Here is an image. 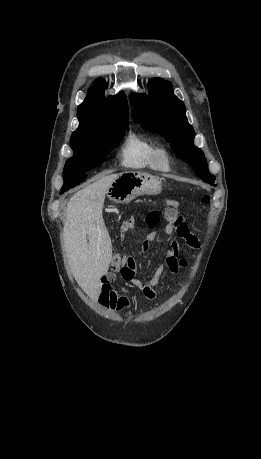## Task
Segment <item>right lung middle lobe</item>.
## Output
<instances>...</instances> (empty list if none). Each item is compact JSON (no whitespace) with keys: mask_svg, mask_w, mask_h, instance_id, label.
Instances as JSON below:
<instances>
[{"mask_svg":"<svg viewBox=\"0 0 261 459\" xmlns=\"http://www.w3.org/2000/svg\"><path fill=\"white\" fill-rule=\"evenodd\" d=\"M128 124L84 131L71 136L70 144L74 156L65 164L61 194L82 182L87 177L86 172L89 169L105 161L110 150L129 129Z\"/></svg>","mask_w":261,"mask_h":459,"instance_id":"1","label":"right lung middle lobe"}]
</instances>
